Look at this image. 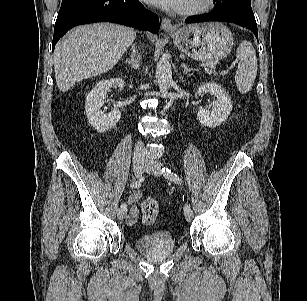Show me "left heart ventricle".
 Listing matches in <instances>:
<instances>
[{"label": "left heart ventricle", "mask_w": 307, "mask_h": 301, "mask_svg": "<svg viewBox=\"0 0 307 301\" xmlns=\"http://www.w3.org/2000/svg\"><path fill=\"white\" fill-rule=\"evenodd\" d=\"M194 1H197V0H182V2H181L179 7L187 6V5H189L190 3L194 2Z\"/></svg>", "instance_id": "b2bd125f"}]
</instances>
